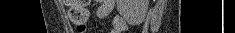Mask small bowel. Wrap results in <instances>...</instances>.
<instances>
[{
    "instance_id": "1",
    "label": "small bowel",
    "mask_w": 235,
    "mask_h": 33,
    "mask_svg": "<svg viewBox=\"0 0 235 33\" xmlns=\"http://www.w3.org/2000/svg\"><path fill=\"white\" fill-rule=\"evenodd\" d=\"M97 3L96 15L99 19H106L114 14L115 2L113 0H100ZM126 28L125 20L120 15L115 14L111 21L109 33H123Z\"/></svg>"
}]
</instances>
